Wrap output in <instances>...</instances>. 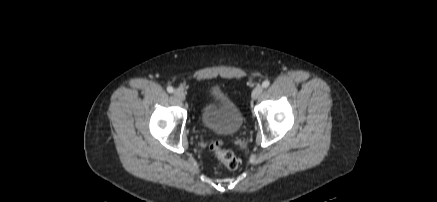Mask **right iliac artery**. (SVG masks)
Masks as SVG:
<instances>
[{
    "label": "right iliac artery",
    "instance_id": "right-iliac-artery-1",
    "mask_svg": "<svg viewBox=\"0 0 437 202\" xmlns=\"http://www.w3.org/2000/svg\"><path fill=\"white\" fill-rule=\"evenodd\" d=\"M167 91H168L169 93H172V92L174 91V89H173V87L168 86V87H167Z\"/></svg>",
    "mask_w": 437,
    "mask_h": 202
}]
</instances>
